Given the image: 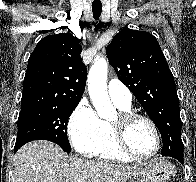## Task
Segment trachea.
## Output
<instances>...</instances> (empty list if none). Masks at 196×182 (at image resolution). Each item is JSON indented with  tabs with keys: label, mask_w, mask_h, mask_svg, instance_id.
<instances>
[{
	"label": "trachea",
	"mask_w": 196,
	"mask_h": 182,
	"mask_svg": "<svg viewBox=\"0 0 196 182\" xmlns=\"http://www.w3.org/2000/svg\"><path fill=\"white\" fill-rule=\"evenodd\" d=\"M92 11H93V16L95 20H98L101 12H102V7H94L92 6Z\"/></svg>",
	"instance_id": "1"
}]
</instances>
